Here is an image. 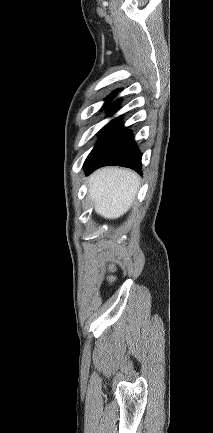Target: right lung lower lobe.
<instances>
[{"label": "right lung lower lobe", "mask_w": 213, "mask_h": 433, "mask_svg": "<svg viewBox=\"0 0 213 433\" xmlns=\"http://www.w3.org/2000/svg\"><path fill=\"white\" fill-rule=\"evenodd\" d=\"M118 103L119 101H116L108 107L111 113L115 112ZM141 156L132 133L123 127L121 121H112L101 132L100 139L87 157L83 168L86 174H89L102 166L119 165L140 173Z\"/></svg>", "instance_id": "98d812e1"}]
</instances>
